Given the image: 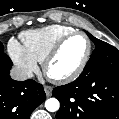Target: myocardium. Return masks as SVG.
<instances>
[{
	"mask_svg": "<svg viewBox=\"0 0 119 119\" xmlns=\"http://www.w3.org/2000/svg\"><path fill=\"white\" fill-rule=\"evenodd\" d=\"M80 35L83 36L87 42V51L80 62V64L69 74L63 75V76H52L49 72V66L52 63V61L56 58V56L59 54L62 46L73 36ZM92 54V42L90 38L82 31H72L66 35H64L62 38H60L57 43L53 46V48L50 50V52L47 54L43 61V71L45 75L55 83H68L73 80H75L85 69L86 65L88 64L90 57Z\"/></svg>",
	"mask_w": 119,
	"mask_h": 119,
	"instance_id": "myocardium-1",
	"label": "myocardium"
}]
</instances>
